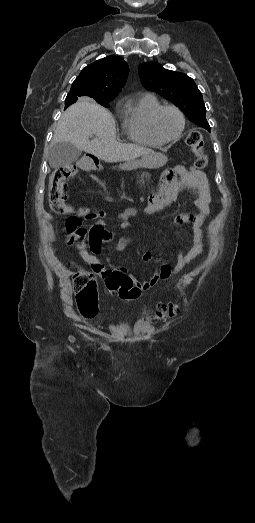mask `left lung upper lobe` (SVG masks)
Segmentation results:
<instances>
[{
  "instance_id": "obj_1",
  "label": "left lung upper lobe",
  "mask_w": 255,
  "mask_h": 523,
  "mask_svg": "<svg viewBox=\"0 0 255 523\" xmlns=\"http://www.w3.org/2000/svg\"><path fill=\"white\" fill-rule=\"evenodd\" d=\"M138 72L146 89L171 101L190 121L211 132L202 94L192 78L180 72L166 70L158 63H142Z\"/></svg>"
}]
</instances>
